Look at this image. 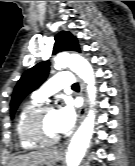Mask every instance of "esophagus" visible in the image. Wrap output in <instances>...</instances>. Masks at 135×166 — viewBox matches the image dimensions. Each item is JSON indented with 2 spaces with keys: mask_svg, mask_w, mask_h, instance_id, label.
I'll use <instances>...</instances> for the list:
<instances>
[{
  "mask_svg": "<svg viewBox=\"0 0 135 166\" xmlns=\"http://www.w3.org/2000/svg\"><path fill=\"white\" fill-rule=\"evenodd\" d=\"M80 94L83 98V105L82 107L80 108V111H79V121H81L84 117V114H85V111H86V104H87V101H86V87H85V84L80 81Z\"/></svg>",
  "mask_w": 135,
  "mask_h": 166,
  "instance_id": "34e87169",
  "label": "esophagus"
}]
</instances>
